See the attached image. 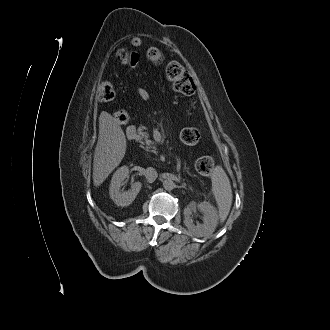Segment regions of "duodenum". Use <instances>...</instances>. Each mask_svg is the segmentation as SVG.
I'll list each match as a JSON object with an SVG mask.
<instances>
[{
  "mask_svg": "<svg viewBox=\"0 0 330 330\" xmlns=\"http://www.w3.org/2000/svg\"><path fill=\"white\" fill-rule=\"evenodd\" d=\"M135 132H136V130H135L134 127L128 128V130H127V136H128V138L130 140H132L134 138Z\"/></svg>",
  "mask_w": 330,
  "mask_h": 330,
  "instance_id": "obj_1",
  "label": "duodenum"
}]
</instances>
